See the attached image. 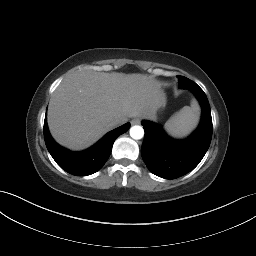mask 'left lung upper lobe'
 Instances as JSON below:
<instances>
[{
    "mask_svg": "<svg viewBox=\"0 0 256 256\" xmlns=\"http://www.w3.org/2000/svg\"><path fill=\"white\" fill-rule=\"evenodd\" d=\"M177 78L179 79V87L181 88H185L186 84L188 83L189 79L183 76H177Z\"/></svg>",
    "mask_w": 256,
    "mask_h": 256,
    "instance_id": "left-lung-upper-lobe-1",
    "label": "left lung upper lobe"
}]
</instances>
